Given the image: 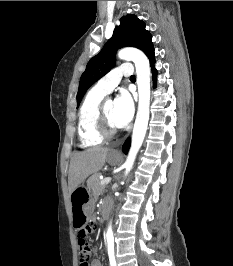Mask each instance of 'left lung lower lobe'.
<instances>
[{"instance_id":"obj_1","label":"left lung lower lobe","mask_w":233,"mask_h":266,"mask_svg":"<svg viewBox=\"0 0 233 266\" xmlns=\"http://www.w3.org/2000/svg\"><path fill=\"white\" fill-rule=\"evenodd\" d=\"M146 55H147V57L149 58L150 63H151V68H152V72H153V83H154V86H155V84H156V74H157V72H156V69H155V67H154V63H155L154 49L152 48L148 53H146ZM129 148H130V139L128 138V139L125 141V143H124V145H123V147H122V150H123V152L126 154V153L128 152V150H129Z\"/></svg>"}]
</instances>
